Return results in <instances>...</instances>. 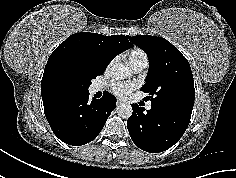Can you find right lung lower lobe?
<instances>
[{
  "mask_svg": "<svg viewBox=\"0 0 236 178\" xmlns=\"http://www.w3.org/2000/svg\"><path fill=\"white\" fill-rule=\"evenodd\" d=\"M44 112L54 134L64 143L79 146L93 141L116 107L108 92L89 101V92L43 100Z\"/></svg>",
  "mask_w": 236,
  "mask_h": 178,
  "instance_id": "right-lung-lower-lobe-1",
  "label": "right lung lower lobe"
}]
</instances>
